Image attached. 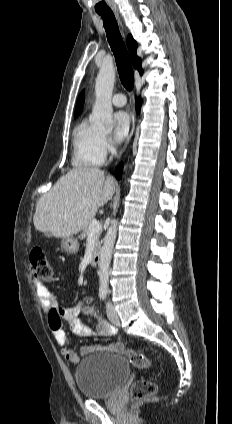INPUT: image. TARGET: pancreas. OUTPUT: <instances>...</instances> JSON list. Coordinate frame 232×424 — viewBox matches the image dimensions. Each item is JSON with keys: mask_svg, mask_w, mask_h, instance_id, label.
Listing matches in <instances>:
<instances>
[{"mask_svg": "<svg viewBox=\"0 0 232 424\" xmlns=\"http://www.w3.org/2000/svg\"><path fill=\"white\" fill-rule=\"evenodd\" d=\"M93 220H94V218L92 220H90L89 223H88V225L83 229V232H82V234L80 236L81 239H84L87 235H89V233H90L89 227H90V225H91V223H92ZM101 232H102V230H99V231L95 232V236H94V239H95V245L94 246H95V248H94V251H96L97 248L100 245L99 237L101 235Z\"/></svg>", "mask_w": 232, "mask_h": 424, "instance_id": "obj_1", "label": "pancreas"}]
</instances>
